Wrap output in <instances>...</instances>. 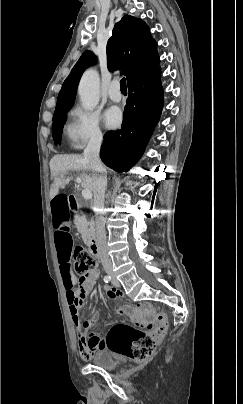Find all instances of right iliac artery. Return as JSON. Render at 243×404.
<instances>
[{
  "instance_id": "1",
  "label": "right iliac artery",
  "mask_w": 243,
  "mask_h": 404,
  "mask_svg": "<svg viewBox=\"0 0 243 404\" xmlns=\"http://www.w3.org/2000/svg\"><path fill=\"white\" fill-rule=\"evenodd\" d=\"M110 280H111V277H110L109 275H106V276L104 277V281H105L106 283H108Z\"/></svg>"
}]
</instances>
